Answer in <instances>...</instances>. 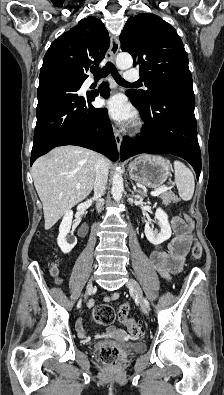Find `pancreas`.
<instances>
[{"label":"pancreas","mask_w":224,"mask_h":395,"mask_svg":"<svg viewBox=\"0 0 224 395\" xmlns=\"http://www.w3.org/2000/svg\"><path fill=\"white\" fill-rule=\"evenodd\" d=\"M163 204L169 205L170 203H176L179 201L177 196L171 192H163L160 196Z\"/></svg>","instance_id":"cf45deb5"}]
</instances>
